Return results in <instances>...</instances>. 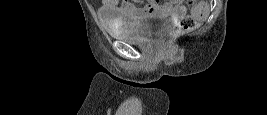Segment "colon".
<instances>
[{"label": "colon", "mask_w": 267, "mask_h": 115, "mask_svg": "<svg viewBox=\"0 0 267 115\" xmlns=\"http://www.w3.org/2000/svg\"><path fill=\"white\" fill-rule=\"evenodd\" d=\"M189 2L194 7V9H198L202 5L201 2L197 0H191ZM195 26H196V20L194 16L193 15L186 16L182 18L177 25L168 28L164 32L162 39L163 40L174 39L183 34L184 32L192 30L193 28H195Z\"/></svg>", "instance_id": "1"}]
</instances>
